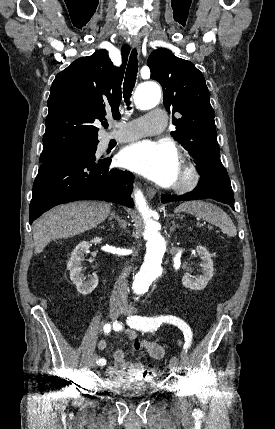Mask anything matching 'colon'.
I'll list each match as a JSON object with an SVG mask.
<instances>
[{"label": "colon", "instance_id": "1", "mask_svg": "<svg viewBox=\"0 0 275 429\" xmlns=\"http://www.w3.org/2000/svg\"><path fill=\"white\" fill-rule=\"evenodd\" d=\"M135 348L137 349V350H139L140 349V347L138 346V345H135ZM154 375V370H153V368L151 367V365H149L148 366V368L145 370V376L146 377H152Z\"/></svg>", "mask_w": 275, "mask_h": 429}]
</instances>
